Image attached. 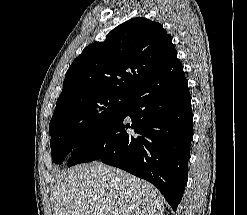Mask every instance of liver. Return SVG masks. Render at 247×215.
I'll list each match as a JSON object with an SVG mask.
<instances>
[{
	"instance_id": "obj_1",
	"label": "liver",
	"mask_w": 247,
	"mask_h": 215,
	"mask_svg": "<svg viewBox=\"0 0 247 215\" xmlns=\"http://www.w3.org/2000/svg\"><path fill=\"white\" fill-rule=\"evenodd\" d=\"M53 215H163L160 192L123 170L92 162L61 175L53 189Z\"/></svg>"
}]
</instances>
